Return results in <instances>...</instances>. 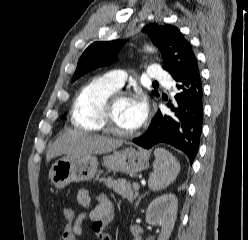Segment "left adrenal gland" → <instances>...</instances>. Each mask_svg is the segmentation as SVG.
Here are the masks:
<instances>
[{
  "label": "left adrenal gland",
  "instance_id": "a2214340",
  "mask_svg": "<svg viewBox=\"0 0 248 240\" xmlns=\"http://www.w3.org/2000/svg\"><path fill=\"white\" fill-rule=\"evenodd\" d=\"M147 194H148V192L144 193L143 195H141V196L138 198V200H137L136 203H135V208L138 207V205H139L141 199L144 198Z\"/></svg>",
  "mask_w": 248,
  "mask_h": 240
}]
</instances>
